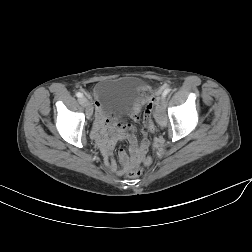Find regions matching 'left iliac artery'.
<instances>
[{"label":"left iliac artery","mask_w":252,"mask_h":252,"mask_svg":"<svg viewBox=\"0 0 252 252\" xmlns=\"http://www.w3.org/2000/svg\"><path fill=\"white\" fill-rule=\"evenodd\" d=\"M169 92H170L169 88L165 89L163 94H162V97H166Z\"/></svg>","instance_id":"1"}]
</instances>
